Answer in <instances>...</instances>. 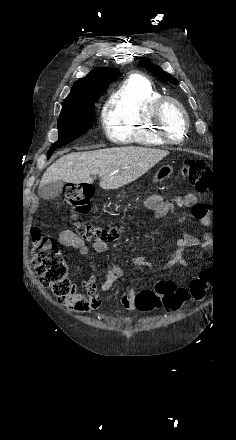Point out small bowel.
I'll use <instances>...</instances> for the list:
<instances>
[{
    "mask_svg": "<svg viewBox=\"0 0 236 440\" xmlns=\"http://www.w3.org/2000/svg\"><path fill=\"white\" fill-rule=\"evenodd\" d=\"M144 207L146 210L151 211L157 219L166 217L176 207L191 208L193 217L199 219L205 225L209 223L204 212V206L197 202L196 196L193 194H188L184 197H173L168 200L153 194L146 199ZM58 243L64 247L77 249L82 255L89 253V248L85 242L70 230H64L59 234ZM198 245L199 239L197 237L183 233L176 241L175 249L170 254L168 261L163 265L152 267V270L162 273L176 265H185V251ZM92 248L97 253H104L107 251L108 246L105 242H94ZM138 262L143 265L147 264L144 258H138ZM121 278L122 270L118 265H111L108 268L105 280L101 284H98L96 277L87 275L80 285L76 286L66 297L63 304L76 313H90L99 310L102 306L100 293L110 290L119 283ZM139 294L140 292L136 294L134 290L123 291L120 295V302L127 310L138 309L136 299Z\"/></svg>",
    "mask_w": 236,
    "mask_h": 440,
    "instance_id": "c3829d8e",
    "label": "small bowel"
}]
</instances>
